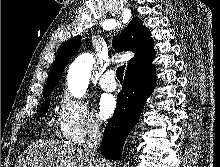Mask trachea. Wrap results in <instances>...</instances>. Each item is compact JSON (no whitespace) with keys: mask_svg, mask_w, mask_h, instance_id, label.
Returning <instances> with one entry per match:
<instances>
[{"mask_svg":"<svg viewBox=\"0 0 220 167\" xmlns=\"http://www.w3.org/2000/svg\"><path fill=\"white\" fill-rule=\"evenodd\" d=\"M124 70H125V65L119 66L116 70V77L118 78L120 82H122L123 80Z\"/></svg>","mask_w":220,"mask_h":167,"instance_id":"1","label":"trachea"}]
</instances>
